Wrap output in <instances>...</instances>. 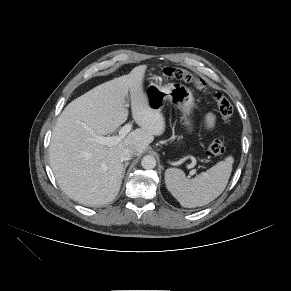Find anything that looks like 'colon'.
Here are the masks:
<instances>
[{"instance_id": "obj_1", "label": "colon", "mask_w": 291, "mask_h": 291, "mask_svg": "<svg viewBox=\"0 0 291 291\" xmlns=\"http://www.w3.org/2000/svg\"><path fill=\"white\" fill-rule=\"evenodd\" d=\"M163 75L166 78L183 81L188 84L194 85L197 89L207 90L206 82L190 72L179 68H165L163 69ZM214 100L216 102L219 114L223 119H229L233 114V106L230 101L222 94L215 93ZM225 151V144L221 139L213 140L208 146L207 153L209 156H219Z\"/></svg>"}]
</instances>
